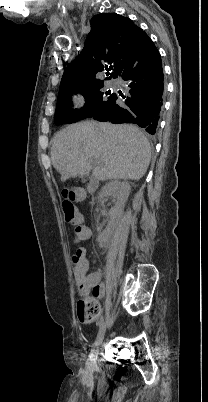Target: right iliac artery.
Here are the masks:
<instances>
[{
  "mask_svg": "<svg viewBox=\"0 0 208 402\" xmlns=\"http://www.w3.org/2000/svg\"><path fill=\"white\" fill-rule=\"evenodd\" d=\"M103 323H104V317L101 316L100 321H99V323H98L99 329L101 328V326L103 325Z\"/></svg>",
  "mask_w": 208,
  "mask_h": 402,
  "instance_id": "1",
  "label": "right iliac artery"
}]
</instances>
